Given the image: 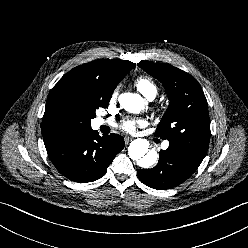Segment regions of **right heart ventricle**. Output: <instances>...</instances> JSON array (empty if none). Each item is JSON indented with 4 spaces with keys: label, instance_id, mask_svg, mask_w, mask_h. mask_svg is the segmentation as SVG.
Masks as SVG:
<instances>
[{
    "label": "right heart ventricle",
    "instance_id": "1",
    "mask_svg": "<svg viewBox=\"0 0 248 248\" xmlns=\"http://www.w3.org/2000/svg\"><path fill=\"white\" fill-rule=\"evenodd\" d=\"M134 85L136 89L146 98L150 97L151 95H156L157 93L156 84L151 78L147 76H140L136 78L134 81Z\"/></svg>",
    "mask_w": 248,
    "mask_h": 248
}]
</instances>
